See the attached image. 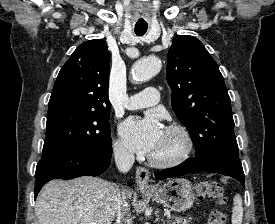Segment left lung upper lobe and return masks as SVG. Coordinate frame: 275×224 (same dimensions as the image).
Instances as JSON below:
<instances>
[{
  "mask_svg": "<svg viewBox=\"0 0 275 224\" xmlns=\"http://www.w3.org/2000/svg\"><path fill=\"white\" fill-rule=\"evenodd\" d=\"M172 107L201 160L239 159L230 97L217 63L195 37L177 35L168 52Z\"/></svg>",
  "mask_w": 275,
  "mask_h": 224,
  "instance_id": "obj_1",
  "label": "left lung upper lobe"
}]
</instances>
